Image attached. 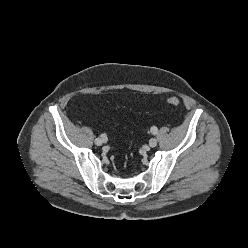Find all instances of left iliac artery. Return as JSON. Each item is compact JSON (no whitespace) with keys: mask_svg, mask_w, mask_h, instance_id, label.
Returning a JSON list of instances; mask_svg holds the SVG:
<instances>
[{"mask_svg":"<svg viewBox=\"0 0 248 248\" xmlns=\"http://www.w3.org/2000/svg\"><path fill=\"white\" fill-rule=\"evenodd\" d=\"M151 132H152L154 135L157 134V132H158L157 127H155V126L151 127Z\"/></svg>","mask_w":248,"mask_h":248,"instance_id":"left-iliac-artery-1","label":"left iliac artery"}]
</instances>
